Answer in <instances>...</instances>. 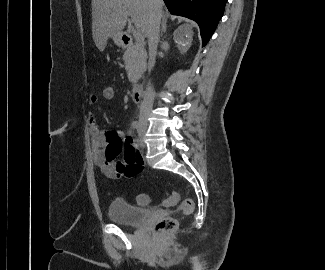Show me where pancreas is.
<instances>
[{"label":"pancreas","instance_id":"cf45deb5","mask_svg":"<svg viewBox=\"0 0 325 270\" xmlns=\"http://www.w3.org/2000/svg\"><path fill=\"white\" fill-rule=\"evenodd\" d=\"M147 52L142 43H135L125 51L123 61L127 71L128 79L136 84L146 70Z\"/></svg>","mask_w":325,"mask_h":270}]
</instances>
